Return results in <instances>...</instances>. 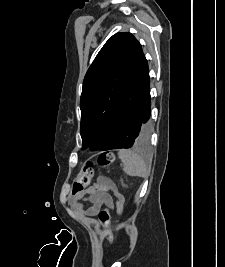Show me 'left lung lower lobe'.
Returning <instances> with one entry per match:
<instances>
[{
  "mask_svg": "<svg viewBox=\"0 0 225 267\" xmlns=\"http://www.w3.org/2000/svg\"><path fill=\"white\" fill-rule=\"evenodd\" d=\"M150 115V77L148 63L143 54L123 98L115 131L102 150L106 151L134 146L141 126H146L150 121ZM148 135H150V132L146 127L144 131L145 140Z\"/></svg>",
  "mask_w": 225,
  "mask_h": 267,
  "instance_id": "obj_1",
  "label": "left lung lower lobe"
}]
</instances>
